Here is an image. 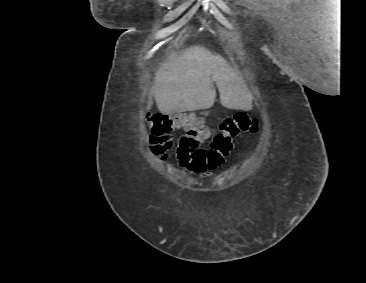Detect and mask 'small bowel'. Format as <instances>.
<instances>
[{"mask_svg":"<svg viewBox=\"0 0 366 283\" xmlns=\"http://www.w3.org/2000/svg\"><path fill=\"white\" fill-rule=\"evenodd\" d=\"M148 143H149V152L152 155L158 156L160 158L161 161H166L168 158V151L172 148L173 146V138L171 135L169 134H164V135H151L148 137L147 139ZM231 152V151H230ZM229 155V153L227 155H223L221 153V151H218V155H216L217 158L222 157V161H220V163H218L215 167H212L210 169L204 170L202 172H200V174L204 177L207 176H211L212 172L214 169H216L218 166L222 165L225 161V158ZM184 172H190L192 174H196L198 172H193L190 171L189 169H185Z\"/></svg>","mask_w":366,"mask_h":283,"instance_id":"1","label":"small bowel"}]
</instances>
